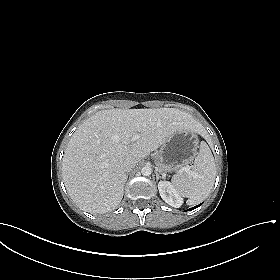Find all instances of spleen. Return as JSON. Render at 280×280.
<instances>
[{
  "mask_svg": "<svg viewBox=\"0 0 280 280\" xmlns=\"http://www.w3.org/2000/svg\"><path fill=\"white\" fill-rule=\"evenodd\" d=\"M216 177L215 160L209 146L200 143V150L194 164L187 172H178L172 177V184L177 191L188 198V205L203 201L213 188Z\"/></svg>",
  "mask_w": 280,
  "mask_h": 280,
  "instance_id": "3e777b00",
  "label": "spleen"
}]
</instances>
